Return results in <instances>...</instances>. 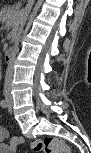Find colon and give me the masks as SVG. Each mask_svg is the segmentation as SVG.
Returning <instances> with one entry per match:
<instances>
[{
  "label": "colon",
  "mask_w": 91,
  "mask_h": 153,
  "mask_svg": "<svg viewBox=\"0 0 91 153\" xmlns=\"http://www.w3.org/2000/svg\"><path fill=\"white\" fill-rule=\"evenodd\" d=\"M22 144L23 141L18 139L15 143V148H18ZM30 147L32 151L37 153H71V148L66 144V142L57 137L34 139L31 142Z\"/></svg>",
  "instance_id": "obj_1"
}]
</instances>
